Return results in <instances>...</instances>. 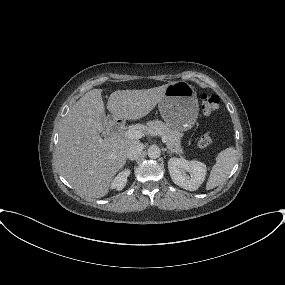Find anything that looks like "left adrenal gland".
Here are the masks:
<instances>
[{"label": "left adrenal gland", "instance_id": "obj_1", "mask_svg": "<svg viewBox=\"0 0 285 285\" xmlns=\"http://www.w3.org/2000/svg\"><path fill=\"white\" fill-rule=\"evenodd\" d=\"M165 151H167L168 154H172V152H170L169 150L165 149Z\"/></svg>", "mask_w": 285, "mask_h": 285}]
</instances>
